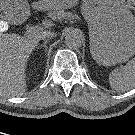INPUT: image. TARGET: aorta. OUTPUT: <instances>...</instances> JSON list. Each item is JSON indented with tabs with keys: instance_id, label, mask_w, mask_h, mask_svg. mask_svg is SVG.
<instances>
[{
	"instance_id": "762f6f07",
	"label": "aorta",
	"mask_w": 135,
	"mask_h": 135,
	"mask_svg": "<svg viewBox=\"0 0 135 135\" xmlns=\"http://www.w3.org/2000/svg\"><path fill=\"white\" fill-rule=\"evenodd\" d=\"M84 42V34L79 29H71L65 36V44L73 49L80 48Z\"/></svg>"
}]
</instances>
